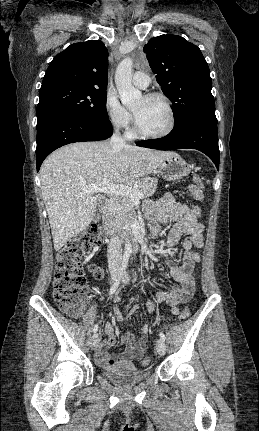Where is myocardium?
I'll use <instances>...</instances> for the list:
<instances>
[{
  "label": "myocardium",
  "mask_w": 259,
  "mask_h": 431,
  "mask_svg": "<svg viewBox=\"0 0 259 431\" xmlns=\"http://www.w3.org/2000/svg\"><path fill=\"white\" fill-rule=\"evenodd\" d=\"M144 98H146V99H159L164 103V105L167 109V112H168V117H169L168 124H167L166 128L161 132L147 133L140 128V126L137 122V119L134 115V117H133V131H134V133L137 136L142 137V138H146V139H161V138L168 136L173 131L174 126H175V113H174V109H173L171 100L165 94L160 93V92H150V93L146 94L144 96Z\"/></svg>",
  "instance_id": "myocardium-1"
}]
</instances>
